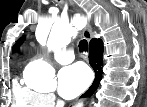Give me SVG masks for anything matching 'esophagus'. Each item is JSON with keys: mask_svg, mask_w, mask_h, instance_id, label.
<instances>
[{"mask_svg": "<svg viewBox=\"0 0 147 107\" xmlns=\"http://www.w3.org/2000/svg\"><path fill=\"white\" fill-rule=\"evenodd\" d=\"M69 2V4H70V6L71 7H75V4H74V2L72 1V0H69L68 1ZM92 30H91V27H90V25L89 24H86L84 27H83V31H82V35H83V37L86 39V40H91V38H92Z\"/></svg>", "mask_w": 147, "mask_h": 107, "instance_id": "esophagus-1", "label": "esophagus"}]
</instances>
